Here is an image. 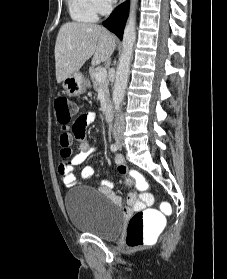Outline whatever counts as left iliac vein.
Listing matches in <instances>:
<instances>
[{
	"instance_id": "4c4485c4",
	"label": "left iliac vein",
	"mask_w": 227,
	"mask_h": 279,
	"mask_svg": "<svg viewBox=\"0 0 227 279\" xmlns=\"http://www.w3.org/2000/svg\"><path fill=\"white\" fill-rule=\"evenodd\" d=\"M118 147H119V149H121V148H122V144L120 143V144L118 145Z\"/></svg>"
}]
</instances>
